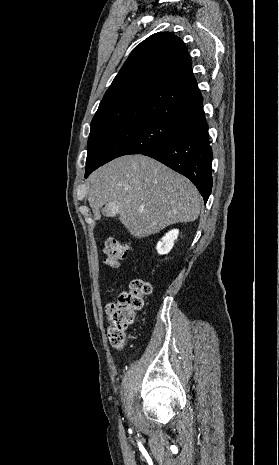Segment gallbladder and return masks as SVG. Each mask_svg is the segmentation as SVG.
Instances as JSON below:
<instances>
[{
  "instance_id": "gallbladder-1",
  "label": "gallbladder",
  "mask_w": 279,
  "mask_h": 465,
  "mask_svg": "<svg viewBox=\"0 0 279 465\" xmlns=\"http://www.w3.org/2000/svg\"><path fill=\"white\" fill-rule=\"evenodd\" d=\"M114 207H115L114 205H110V204L105 205L104 209H105L106 213L108 214V216L112 217V213L110 211ZM102 212H104V210H102Z\"/></svg>"
}]
</instances>
